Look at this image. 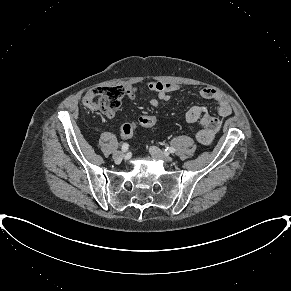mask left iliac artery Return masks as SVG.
Returning a JSON list of instances; mask_svg holds the SVG:
<instances>
[{"instance_id": "left-iliac-artery-1", "label": "left iliac artery", "mask_w": 291, "mask_h": 291, "mask_svg": "<svg viewBox=\"0 0 291 291\" xmlns=\"http://www.w3.org/2000/svg\"><path fill=\"white\" fill-rule=\"evenodd\" d=\"M165 152H166V153H174V152H175V148H173V147H167V148L165 149Z\"/></svg>"}]
</instances>
